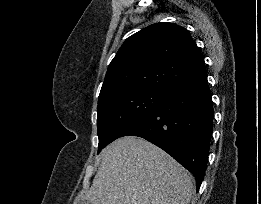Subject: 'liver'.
I'll return each mask as SVG.
<instances>
[{"label": "liver", "instance_id": "liver-1", "mask_svg": "<svg viewBox=\"0 0 261 204\" xmlns=\"http://www.w3.org/2000/svg\"><path fill=\"white\" fill-rule=\"evenodd\" d=\"M100 167L80 200L91 204H189L193 176L165 151L135 136L119 138L100 154Z\"/></svg>", "mask_w": 261, "mask_h": 204}]
</instances>
